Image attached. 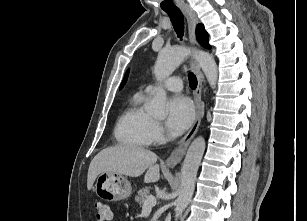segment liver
<instances>
[{"instance_id":"6515ba94","label":"liver","mask_w":307,"mask_h":221,"mask_svg":"<svg viewBox=\"0 0 307 221\" xmlns=\"http://www.w3.org/2000/svg\"><path fill=\"white\" fill-rule=\"evenodd\" d=\"M157 158L154 152L137 146L119 145L105 148L89 165L87 188L91 190L97 176L104 172L139 177L146 171L145 182H156L160 178Z\"/></svg>"}]
</instances>
